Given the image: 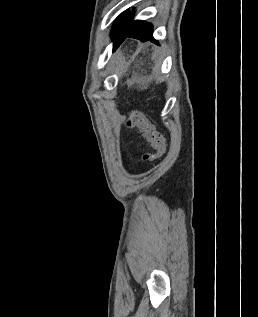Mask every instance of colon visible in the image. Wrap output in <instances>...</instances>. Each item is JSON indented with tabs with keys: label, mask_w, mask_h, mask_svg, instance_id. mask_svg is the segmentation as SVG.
Returning <instances> with one entry per match:
<instances>
[{
	"label": "colon",
	"mask_w": 258,
	"mask_h": 317,
	"mask_svg": "<svg viewBox=\"0 0 258 317\" xmlns=\"http://www.w3.org/2000/svg\"><path fill=\"white\" fill-rule=\"evenodd\" d=\"M126 126L138 131L151 145L153 151L145 153L144 160L153 161L165 153L166 140L164 136L142 113L131 112L126 120Z\"/></svg>",
	"instance_id": "obj_1"
}]
</instances>
